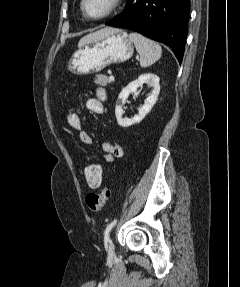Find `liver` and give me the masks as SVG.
Returning <instances> with one entry per match:
<instances>
[{"mask_svg": "<svg viewBox=\"0 0 240 287\" xmlns=\"http://www.w3.org/2000/svg\"><path fill=\"white\" fill-rule=\"evenodd\" d=\"M112 30H113L112 27H105V28H102L96 32L90 33V34L84 36L83 38H81L78 45L80 46V45H83V44L90 42L92 40L103 37L104 35L108 34Z\"/></svg>", "mask_w": 240, "mask_h": 287, "instance_id": "obj_1", "label": "liver"}]
</instances>
